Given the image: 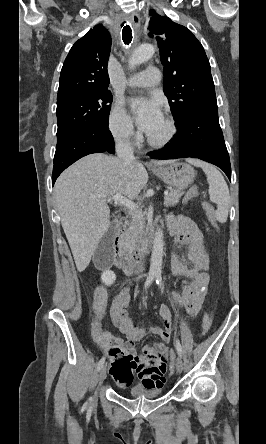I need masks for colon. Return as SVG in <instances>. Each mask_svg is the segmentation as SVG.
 <instances>
[{
  "instance_id": "colon-1",
  "label": "colon",
  "mask_w": 266,
  "mask_h": 444,
  "mask_svg": "<svg viewBox=\"0 0 266 444\" xmlns=\"http://www.w3.org/2000/svg\"><path fill=\"white\" fill-rule=\"evenodd\" d=\"M198 195H199V189L197 187H192L186 193L185 200L186 201H190L191 199H193L194 197H196ZM203 208L205 210V213L207 215V218H208L211 226L215 230H218V224H217V221H216V219L214 217L212 206L208 202L204 201L203 202ZM211 323H212V312L209 311L203 317V320H202V323H201V326H200V330H199V335L200 336H203V335H205L208 332V330H209V328L211 326ZM173 356H174V354L171 352L170 353V357L172 358Z\"/></svg>"
}]
</instances>
